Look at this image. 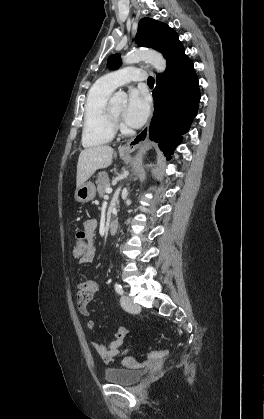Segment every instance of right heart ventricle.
Wrapping results in <instances>:
<instances>
[{"label": "right heart ventricle", "mask_w": 264, "mask_h": 419, "mask_svg": "<svg viewBox=\"0 0 264 419\" xmlns=\"http://www.w3.org/2000/svg\"><path fill=\"white\" fill-rule=\"evenodd\" d=\"M113 89L102 81L96 82L88 91L84 108L82 144L96 147L109 143L115 134V124L109 113L108 99Z\"/></svg>", "instance_id": "right-heart-ventricle-1"}]
</instances>
